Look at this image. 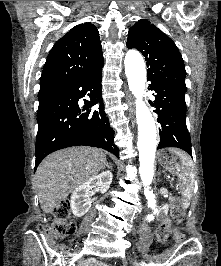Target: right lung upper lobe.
<instances>
[{"mask_svg": "<svg viewBox=\"0 0 221 266\" xmlns=\"http://www.w3.org/2000/svg\"><path fill=\"white\" fill-rule=\"evenodd\" d=\"M102 47L91 23L73 27L51 49L44 65L40 87L66 85L102 66Z\"/></svg>", "mask_w": 221, "mask_h": 266, "instance_id": "cb5924a9", "label": "right lung upper lobe"}]
</instances>
